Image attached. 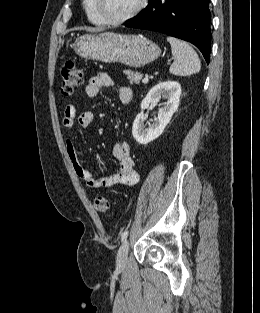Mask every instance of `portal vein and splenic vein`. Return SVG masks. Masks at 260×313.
I'll return each mask as SVG.
<instances>
[{"mask_svg":"<svg viewBox=\"0 0 260 313\" xmlns=\"http://www.w3.org/2000/svg\"><path fill=\"white\" fill-rule=\"evenodd\" d=\"M148 81H149L148 77H145V78L142 80L143 83H148Z\"/></svg>","mask_w":260,"mask_h":313,"instance_id":"portal-vein-and-splenic-vein-1","label":"portal vein and splenic vein"}]
</instances>
